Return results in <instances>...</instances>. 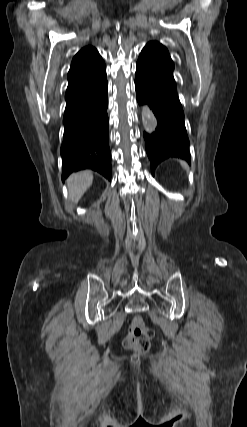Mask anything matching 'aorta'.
Returning a JSON list of instances; mask_svg holds the SVG:
<instances>
[{"instance_id": "obj_1", "label": "aorta", "mask_w": 247, "mask_h": 427, "mask_svg": "<svg viewBox=\"0 0 247 427\" xmlns=\"http://www.w3.org/2000/svg\"><path fill=\"white\" fill-rule=\"evenodd\" d=\"M143 126L148 132L155 131L157 127V120L152 110L147 106L142 107Z\"/></svg>"}]
</instances>
